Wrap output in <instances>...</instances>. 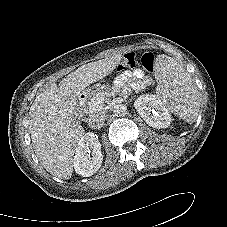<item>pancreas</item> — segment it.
I'll use <instances>...</instances> for the list:
<instances>
[{
    "mask_svg": "<svg viewBox=\"0 0 227 227\" xmlns=\"http://www.w3.org/2000/svg\"><path fill=\"white\" fill-rule=\"evenodd\" d=\"M103 89H109L108 87L97 88L96 90L89 91V97L87 105L85 106V111L88 113H95L100 111L103 108V103L99 104L98 106L95 105L96 98L104 94ZM105 95V94H104Z\"/></svg>",
    "mask_w": 227,
    "mask_h": 227,
    "instance_id": "obj_1",
    "label": "pancreas"
}]
</instances>
